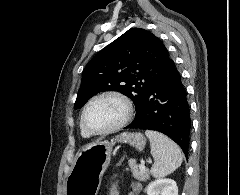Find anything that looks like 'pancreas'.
Returning a JSON list of instances; mask_svg holds the SVG:
<instances>
[{
  "instance_id": "obj_1",
  "label": "pancreas",
  "mask_w": 240,
  "mask_h": 195,
  "mask_svg": "<svg viewBox=\"0 0 240 195\" xmlns=\"http://www.w3.org/2000/svg\"><path fill=\"white\" fill-rule=\"evenodd\" d=\"M128 165L131 167L132 175L135 179H139V181H147V179H150L149 169H145V171L138 169L136 159H128Z\"/></svg>"
}]
</instances>
